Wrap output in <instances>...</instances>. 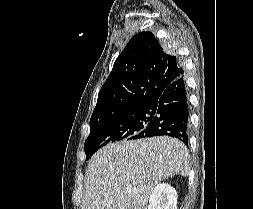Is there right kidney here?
Masks as SVG:
<instances>
[{
    "label": "right kidney",
    "instance_id": "obj_1",
    "mask_svg": "<svg viewBox=\"0 0 253 209\" xmlns=\"http://www.w3.org/2000/svg\"><path fill=\"white\" fill-rule=\"evenodd\" d=\"M177 191L166 183L158 184L149 198L148 209H177Z\"/></svg>",
    "mask_w": 253,
    "mask_h": 209
}]
</instances>
